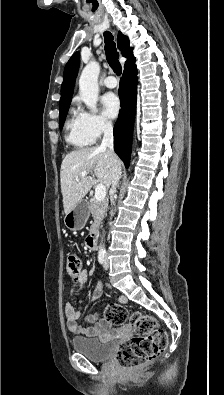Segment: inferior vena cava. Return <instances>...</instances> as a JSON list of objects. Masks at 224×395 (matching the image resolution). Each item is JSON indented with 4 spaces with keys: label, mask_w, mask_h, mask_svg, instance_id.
<instances>
[{
    "label": "inferior vena cava",
    "mask_w": 224,
    "mask_h": 395,
    "mask_svg": "<svg viewBox=\"0 0 224 395\" xmlns=\"http://www.w3.org/2000/svg\"><path fill=\"white\" fill-rule=\"evenodd\" d=\"M103 133L104 137L102 139L101 143V148L107 149L108 152H110L114 156V150H113V127L110 121H104L103 122ZM121 166L120 163H118L117 160L113 161L112 164V187L110 190V200H111V205L115 204V196L114 193L116 192V188L119 184V180L121 178ZM113 212H111V216H113Z\"/></svg>",
    "instance_id": "1"
}]
</instances>
